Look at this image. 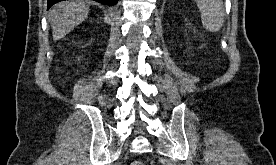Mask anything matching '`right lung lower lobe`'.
<instances>
[{
  "label": "right lung lower lobe",
  "mask_w": 276,
  "mask_h": 165,
  "mask_svg": "<svg viewBox=\"0 0 276 165\" xmlns=\"http://www.w3.org/2000/svg\"><path fill=\"white\" fill-rule=\"evenodd\" d=\"M63 0H48V9L55 3L60 2ZM97 1L99 3L105 4V5H109V6H113L115 4L118 3V0H94Z\"/></svg>",
  "instance_id": "1"
}]
</instances>
